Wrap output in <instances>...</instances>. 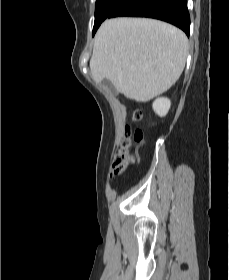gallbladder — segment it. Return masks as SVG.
<instances>
[{
	"label": "gallbladder",
	"mask_w": 229,
	"mask_h": 280,
	"mask_svg": "<svg viewBox=\"0 0 229 280\" xmlns=\"http://www.w3.org/2000/svg\"><path fill=\"white\" fill-rule=\"evenodd\" d=\"M102 84L106 86L113 94L116 95L118 93L113 84L108 79H103Z\"/></svg>",
	"instance_id": "bac80fb5"
}]
</instances>
